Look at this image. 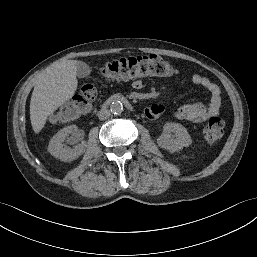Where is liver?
I'll return each mask as SVG.
<instances>
[{
    "label": "liver",
    "mask_w": 257,
    "mask_h": 257,
    "mask_svg": "<svg viewBox=\"0 0 257 257\" xmlns=\"http://www.w3.org/2000/svg\"><path fill=\"white\" fill-rule=\"evenodd\" d=\"M77 64L76 60L58 61L38 77L30 101V120L36 134L43 129L48 116L75 94Z\"/></svg>",
    "instance_id": "6515ba94"
}]
</instances>
